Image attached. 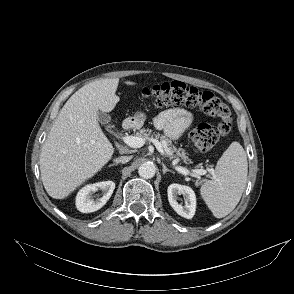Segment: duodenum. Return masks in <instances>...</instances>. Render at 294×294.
<instances>
[{"label": "duodenum", "mask_w": 294, "mask_h": 294, "mask_svg": "<svg viewBox=\"0 0 294 294\" xmlns=\"http://www.w3.org/2000/svg\"><path fill=\"white\" fill-rule=\"evenodd\" d=\"M134 125H135V122L133 119L131 118H128V119H125L123 121V128L125 130H131L132 128H134Z\"/></svg>", "instance_id": "1"}]
</instances>
